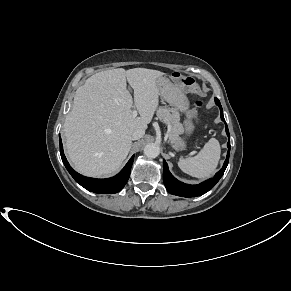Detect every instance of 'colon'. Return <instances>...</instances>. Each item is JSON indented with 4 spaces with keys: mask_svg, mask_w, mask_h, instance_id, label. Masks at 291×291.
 <instances>
[{
    "mask_svg": "<svg viewBox=\"0 0 291 291\" xmlns=\"http://www.w3.org/2000/svg\"><path fill=\"white\" fill-rule=\"evenodd\" d=\"M173 77L179 81L181 84L185 85V86H193L195 81L192 77H189V76H186V75H183V74H180V73H174L173 74ZM196 105L197 106H200L201 105V102L200 101H197L196 102Z\"/></svg>",
    "mask_w": 291,
    "mask_h": 291,
    "instance_id": "colon-1",
    "label": "colon"
}]
</instances>
